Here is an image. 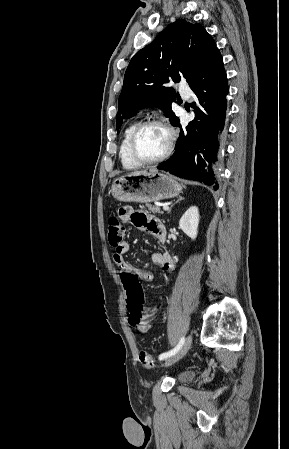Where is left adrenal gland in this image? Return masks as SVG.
I'll return each mask as SVG.
<instances>
[{
	"label": "left adrenal gland",
	"instance_id": "obj_1",
	"mask_svg": "<svg viewBox=\"0 0 289 449\" xmlns=\"http://www.w3.org/2000/svg\"><path fill=\"white\" fill-rule=\"evenodd\" d=\"M182 200H184V198H183V197H179L178 200H177L173 205H171L169 211L171 210V208H172L176 203H178V202H180V201H182ZM169 211H168V212H169Z\"/></svg>",
	"mask_w": 289,
	"mask_h": 449
}]
</instances>
